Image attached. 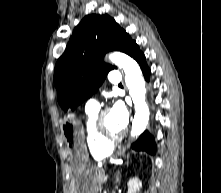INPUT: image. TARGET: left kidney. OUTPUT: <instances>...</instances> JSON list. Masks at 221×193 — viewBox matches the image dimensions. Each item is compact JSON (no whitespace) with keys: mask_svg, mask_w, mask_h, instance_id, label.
Wrapping results in <instances>:
<instances>
[{"mask_svg":"<svg viewBox=\"0 0 221 193\" xmlns=\"http://www.w3.org/2000/svg\"><path fill=\"white\" fill-rule=\"evenodd\" d=\"M128 192L127 193H136L142 188V182L139 180V178L135 177L128 181Z\"/></svg>","mask_w":221,"mask_h":193,"instance_id":"1","label":"left kidney"}]
</instances>
